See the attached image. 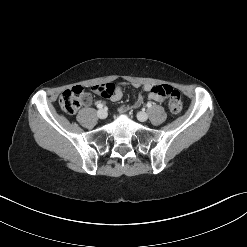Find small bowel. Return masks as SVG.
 <instances>
[{
	"instance_id": "1",
	"label": "small bowel",
	"mask_w": 247,
	"mask_h": 247,
	"mask_svg": "<svg viewBox=\"0 0 247 247\" xmlns=\"http://www.w3.org/2000/svg\"><path fill=\"white\" fill-rule=\"evenodd\" d=\"M130 85L135 87V88H141L142 91H144L146 94H147V88L151 89L154 86V85H151V84H140L138 82H132V83H130ZM158 86H160V85H158ZM122 88H123V84L122 83H109L108 91L105 92L104 94H101V95L103 97L113 101V102H117L123 96ZM147 97L150 99L149 95H147ZM84 102L87 105L90 104V102H91L90 95L87 94L86 99H85ZM131 106H134V108H137V107H135V102ZM126 107H129V106H121L119 108V111H121V112L127 111Z\"/></svg>"
}]
</instances>
